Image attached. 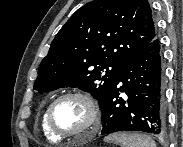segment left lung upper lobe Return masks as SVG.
Returning a JSON list of instances; mask_svg holds the SVG:
<instances>
[{
  "label": "left lung upper lobe",
  "instance_id": "obj_1",
  "mask_svg": "<svg viewBox=\"0 0 183 147\" xmlns=\"http://www.w3.org/2000/svg\"><path fill=\"white\" fill-rule=\"evenodd\" d=\"M156 38L147 0H94L63 25L38 69L34 89L90 92L100 107L124 65Z\"/></svg>",
  "mask_w": 183,
  "mask_h": 147
}]
</instances>
